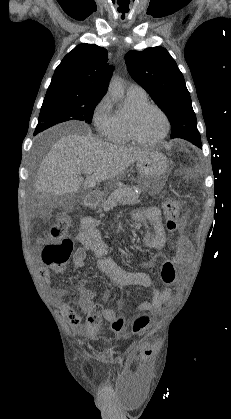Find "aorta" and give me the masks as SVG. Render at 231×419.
I'll return each instance as SVG.
<instances>
[{
    "instance_id": "aorta-1",
    "label": "aorta",
    "mask_w": 231,
    "mask_h": 419,
    "mask_svg": "<svg viewBox=\"0 0 231 419\" xmlns=\"http://www.w3.org/2000/svg\"><path fill=\"white\" fill-rule=\"evenodd\" d=\"M109 93L115 98H121L123 96V87L119 79H112L108 89Z\"/></svg>"
}]
</instances>
